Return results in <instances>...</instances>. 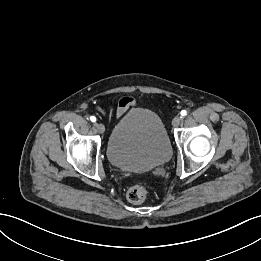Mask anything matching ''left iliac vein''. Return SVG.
<instances>
[{
	"label": "left iliac vein",
	"mask_w": 261,
	"mask_h": 261,
	"mask_svg": "<svg viewBox=\"0 0 261 261\" xmlns=\"http://www.w3.org/2000/svg\"><path fill=\"white\" fill-rule=\"evenodd\" d=\"M181 121H182V117L176 116V117L172 120V125H173L174 127H178V126L180 125Z\"/></svg>",
	"instance_id": "left-iliac-vein-1"
}]
</instances>
